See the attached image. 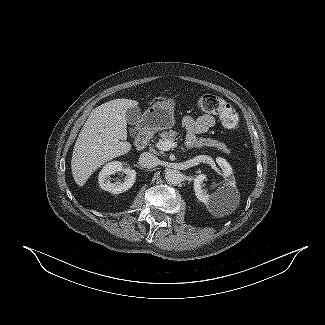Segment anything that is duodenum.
I'll return each instance as SVG.
<instances>
[{
    "label": "duodenum",
    "instance_id": "obj_1",
    "mask_svg": "<svg viewBox=\"0 0 325 325\" xmlns=\"http://www.w3.org/2000/svg\"><path fill=\"white\" fill-rule=\"evenodd\" d=\"M150 137L151 134L149 132L146 131L141 132L135 140L136 146L140 149L144 148L147 145L148 141L150 140Z\"/></svg>",
    "mask_w": 325,
    "mask_h": 325
}]
</instances>
